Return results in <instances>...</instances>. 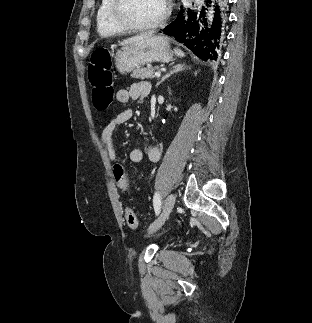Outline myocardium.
Wrapping results in <instances>:
<instances>
[{
	"label": "myocardium",
	"mask_w": 312,
	"mask_h": 323,
	"mask_svg": "<svg viewBox=\"0 0 312 323\" xmlns=\"http://www.w3.org/2000/svg\"><path fill=\"white\" fill-rule=\"evenodd\" d=\"M110 3V10H108V17H112L114 21H117L118 25H123L124 31H150V27H156V25H164L165 21H169L172 12V0H161L163 10H161L159 18L154 20H126L123 10V0H108Z\"/></svg>",
	"instance_id": "obj_1"
}]
</instances>
